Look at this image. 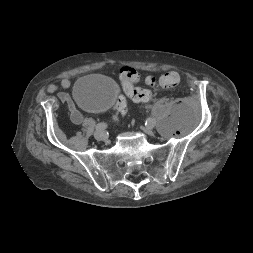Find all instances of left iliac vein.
Here are the masks:
<instances>
[{
	"label": "left iliac vein",
	"instance_id": "1",
	"mask_svg": "<svg viewBox=\"0 0 253 253\" xmlns=\"http://www.w3.org/2000/svg\"><path fill=\"white\" fill-rule=\"evenodd\" d=\"M144 132L147 133L148 135H153V126H145L144 127Z\"/></svg>",
	"mask_w": 253,
	"mask_h": 253
}]
</instances>
